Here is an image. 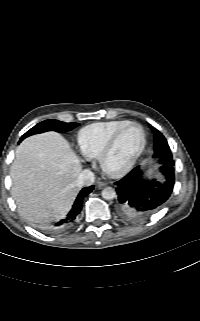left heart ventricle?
<instances>
[{"label": "left heart ventricle", "instance_id": "1", "mask_svg": "<svg viewBox=\"0 0 200 321\" xmlns=\"http://www.w3.org/2000/svg\"><path fill=\"white\" fill-rule=\"evenodd\" d=\"M142 142L140 128L131 126L119 137L116 146L107 158V165L111 169H119L127 164Z\"/></svg>", "mask_w": 200, "mask_h": 321}]
</instances>
